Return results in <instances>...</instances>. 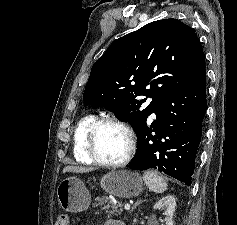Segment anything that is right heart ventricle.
<instances>
[{
    "mask_svg": "<svg viewBox=\"0 0 237 225\" xmlns=\"http://www.w3.org/2000/svg\"><path fill=\"white\" fill-rule=\"evenodd\" d=\"M95 120V115L87 114L80 118L75 126L73 133V155L78 162L86 164L94 162L86 151V135Z\"/></svg>",
    "mask_w": 237,
    "mask_h": 225,
    "instance_id": "right-heart-ventricle-1",
    "label": "right heart ventricle"
}]
</instances>
